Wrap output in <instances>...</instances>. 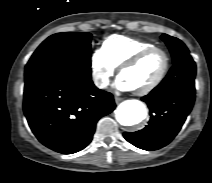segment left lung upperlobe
I'll return each instance as SVG.
<instances>
[{"label":"left lung upper lobe","instance_id":"5c2ea615","mask_svg":"<svg viewBox=\"0 0 212 183\" xmlns=\"http://www.w3.org/2000/svg\"><path fill=\"white\" fill-rule=\"evenodd\" d=\"M161 39L167 44L172 54L174 63L177 62L180 58L189 55V50L181 40L167 34H163Z\"/></svg>","mask_w":212,"mask_h":183}]
</instances>
